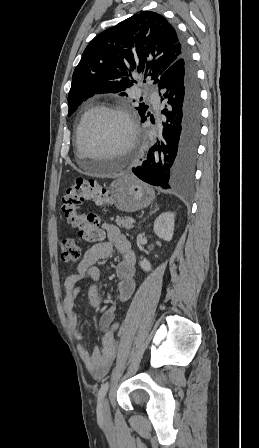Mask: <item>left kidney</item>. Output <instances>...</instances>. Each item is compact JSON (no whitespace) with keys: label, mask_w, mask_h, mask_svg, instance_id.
Returning <instances> with one entry per match:
<instances>
[{"label":"left kidney","mask_w":259,"mask_h":448,"mask_svg":"<svg viewBox=\"0 0 259 448\" xmlns=\"http://www.w3.org/2000/svg\"><path fill=\"white\" fill-rule=\"evenodd\" d=\"M174 214L173 212H164V214H160L158 218H156L154 222V232L158 238H161V240H166V242H170L172 240L173 236V230H174ZM142 270L144 272H150L151 270V264L148 262V260H142V262H139Z\"/></svg>","instance_id":"1"}]
</instances>
